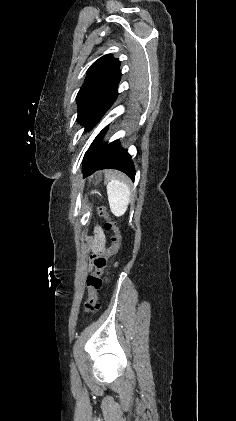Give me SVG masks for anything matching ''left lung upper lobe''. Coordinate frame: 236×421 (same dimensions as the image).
I'll list each match as a JSON object with an SVG mask.
<instances>
[{
	"mask_svg": "<svg viewBox=\"0 0 236 421\" xmlns=\"http://www.w3.org/2000/svg\"><path fill=\"white\" fill-rule=\"evenodd\" d=\"M120 62L107 54L95 61L77 94V121L91 130L118 96Z\"/></svg>",
	"mask_w": 236,
	"mask_h": 421,
	"instance_id": "left-lung-upper-lobe-1",
	"label": "left lung upper lobe"
}]
</instances>
